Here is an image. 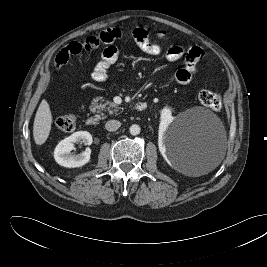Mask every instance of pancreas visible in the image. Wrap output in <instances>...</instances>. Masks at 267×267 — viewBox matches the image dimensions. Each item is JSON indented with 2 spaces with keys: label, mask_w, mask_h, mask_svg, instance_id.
Listing matches in <instances>:
<instances>
[{
  "label": "pancreas",
  "mask_w": 267,
  "mask_h": 267,
  "mask_svg": "<svg viewBox=\"0 0 267 267\" xmlns=\"http://www.w3.org/2000/svg\"><path fill=\"white\" fill-rule=\"evenodd\" d=\"M91 107L93 111L97 110V112H101L103 110L104 111L107 110L110 114L117 112L119 110V107L115 103L110 101H104L101 97L95 98L92 102ZM101 115L103 116V114Z\"/></svg>",
  "instance_id": "obj_1"
}]
</instances>
